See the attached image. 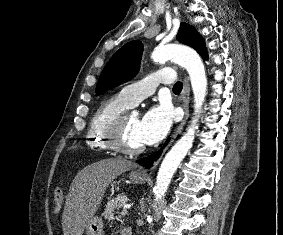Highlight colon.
I'll list each match as a JSON object with an SVG mask.
<instances>
[{
	"mask_svg": "<svg viewBox=\"0 0 283 235\" xmlns=\"http://www.w3.org/2000/svg\"><path fill=\"white\" fill-rule=\"evenodd\" d=\"M63 198H64V195H63L62 188H60V187L56 188V190L54 192V208H55V210L60 209L62 202H63Z\"/></svg>",
	"mask_w": 283,
	"mask_h": 235,
	"instance_id": "1",
	"label": "colon"
}]
</instances>
